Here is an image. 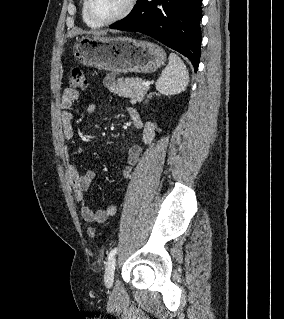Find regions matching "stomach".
<instances>
[{
	"label": "stomach",
	"instance_id": "0dacf381",
	"mask_svg": "<svg viewBox=\"0 0 284 319\" xmlns=\"http://www.w3.org/2000/svg\"><path fill=\"white\" fill-rule=\"evenodd\" d=\"M73 55L83 65L113 73H152L166 60L158 45L129 37L83 36L75 42Z\"/></svg>",
	"mask_w": 284,
	"mask_h": 319
}]
</instances>
